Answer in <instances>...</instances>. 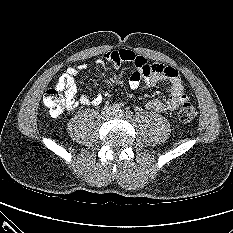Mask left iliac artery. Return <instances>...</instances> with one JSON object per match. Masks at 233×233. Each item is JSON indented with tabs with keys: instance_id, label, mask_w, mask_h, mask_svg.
<instances>
[{
	"instance_id": "obj_1",
	"label": "left iliac artery",
	"mask_w": 233,
	"mask_h": 233,
	"mask_svg": "<svg viewBox=\"0 0 233 233\" xmlns=\"http://www.w3.org/2000/svg\"><path fill=\"white\" fill-rule=\"evenodd\" d=\"M124 115L126 118H132L133 113L131 111H126Z\"/></svg>"
}]
</instances>
